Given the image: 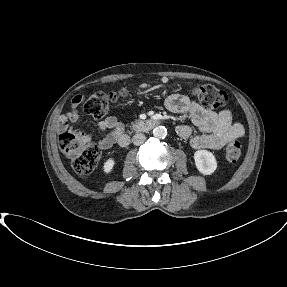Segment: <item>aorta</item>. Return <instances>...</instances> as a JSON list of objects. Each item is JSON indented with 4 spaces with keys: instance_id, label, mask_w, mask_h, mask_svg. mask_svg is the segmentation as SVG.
<instances>
[{
    "instance_id": "762f6f07",
    "label": "aorta",
    "mask_w": 287,
    "mask_h": 287,
    "mask_svg": "<svg viewBox=\"0 0 287 287\" xmlns=\"http://www.w3.org/2000/svg\"><path fill=\"white\" fill-rule=\"evenodd\" d=\"M153 136L157 139H164L167 136V129L164 126H157L153 129Z\"/></svg>"
}]
</instances>
